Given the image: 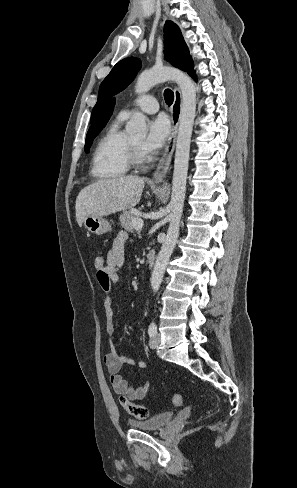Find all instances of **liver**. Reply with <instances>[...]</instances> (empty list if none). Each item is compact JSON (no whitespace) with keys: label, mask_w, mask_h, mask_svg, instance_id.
I'll return each instance as SVG.
<instances>
[{"label":"liver","mask_w":297,"mask_h":488,"mask_svg":"<svg viewBox=\"0 0 297 488\" xmlns=\"http://www.w3.org/2000/svg\"><path fill=\"white\" fill-rule=\"evenodd\" d=\"M145 181L140 176H124L98 180L83 188L76 199L79 226L89 216H107L136 206Z\"/></svg>","instance_id":"1"}]
</instances>
